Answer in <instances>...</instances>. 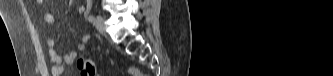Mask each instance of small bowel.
I'll return each instance as SVG.
<instances>
[{
  "label": "small bowel",
  "mask_w": 333,
  "mask_h": 76,
  "mask_svg": "<svg viewBox=\"0 0 333 76\" xmlns=\"http://www.w3.org/2000/svg\"><path fill=\"white\" fill-rule=\"evenodd\" d=\"M38 5L43 6L47 3L46 0H37L36 1ZM85 7L83 5L78 7L79 13H84ZM44 21L48 24H53L55 22V17L52 14H45L44 15ZM91 39V36L89 34H85L82 36L80 42L77 44L76 48L69 51L65 55H61L56 50V41L53 39L48 40L47 47H48V54L52 66V75L53 76H61L63 73V64H72L78 54L85 50L86 44Z\"/></svg>",
  "instance_id": "1"
}]
</instances>
